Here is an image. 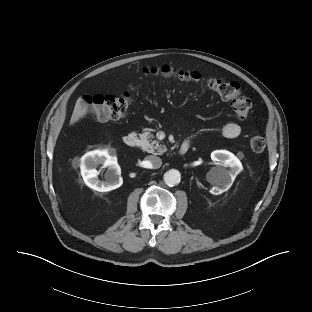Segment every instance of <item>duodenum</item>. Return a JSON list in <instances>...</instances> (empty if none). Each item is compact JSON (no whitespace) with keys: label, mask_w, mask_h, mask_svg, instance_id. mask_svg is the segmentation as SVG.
<instances>
[{"label":"duodenum","mask_w":312,"mask_h":312,"mask_svg":"<svg viewBox=\"0 0 312 312\" xmlns=\"http://www.w3.org/2000/svg\"><path fill=\"white\" fill-rule=\"evenodd\" d=\"M139 142L138 136L135 133H129L126 136H124L123 138V143L125 146L133 148L135 147ZM190 148V142L186 141L183 142L179 148H178V152L180 155H184L188 152Z\"/></svg>","instance_id":"obj_1"}]
</instances>
